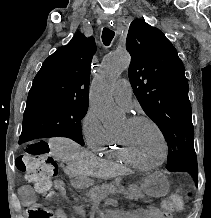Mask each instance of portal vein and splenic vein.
Masks as SVG:
<instances>
[{"instance_id": "18ae733b", "label": "portal vein and splenic vein", "mask_w": 211, "mask_h": 218, "mask_svg": "<svg viewBox=\"0 0 211 218\" xmlns=\"http://www.w3.org/2000/svg\"><path fill=\"white\" fill-rule=\"evenodd\" d=\"M118 190H119L120 192H122L123 190H124V191H127L128 189H127V188H124V187H120Z\"/></svg>"}]
</instances>
